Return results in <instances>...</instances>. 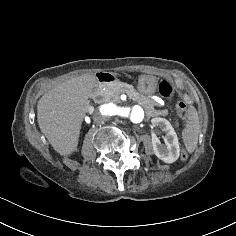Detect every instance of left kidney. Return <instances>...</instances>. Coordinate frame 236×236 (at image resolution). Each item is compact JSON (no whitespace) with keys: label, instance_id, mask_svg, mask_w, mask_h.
Instances as JSON below:
<instances>
[{"label":"left kidney","instance_id":"1","mask_svg":"<svg viewBox=\"0 0 236 236\" xmlns=\"http://www.w3.org/2000/svg\"><path fill=\"white\" fill-rule=\"evenodd\" d=\"M152 125L164 132L162 138L164 143H161L159 137L153 135L152 147L155 156L166 164H173L180 155V147L177 135L170 123L163 118H154Z\"/></svg>","mask_w":236,"mask_h":236}]
</instances>
